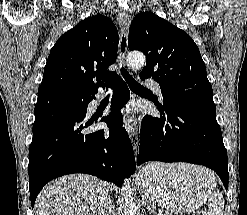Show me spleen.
I'll use <instances>...</instances> for the list:
<instances>
[{
    "label": "spleen",
    "instance_id": "spleen-1",
    "mask_svg": "<svg viewBox=\"0 0 247 215\" xmlns=\"http://www.w3.org/2000/svg\"><path fill=\"white\" fill-rule=\"evenodd\" d=\"M208 201H209V215H223L224 199L222 194L218 190H214L210 192L208 196Z\"/></svg>",
    "mask_w": 247,
    "mask_h": 215
}]
</instances>
